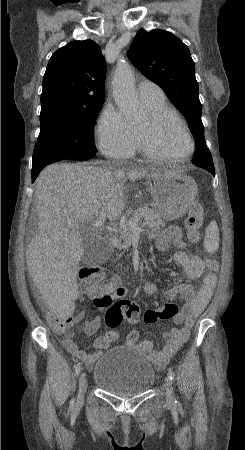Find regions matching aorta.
<instances>
[{
  "mask_svg": "<svg viewBox=\"0 0 245 450\" xmlns=\"http://www.w3.org/2000/svg\"><path fill=\"white\" fill-rule=\"evenodd\" d=\"M134 80L130 66L121 63L112 82L115 102L127 120L133 124L139 122L144 115L143 107L136 96Z\"/></svg>",
  "mask_w": 245,
  "mask_h": 450,
  "instance_id": "1",
  "label": "aorta"
}]
</instances>
